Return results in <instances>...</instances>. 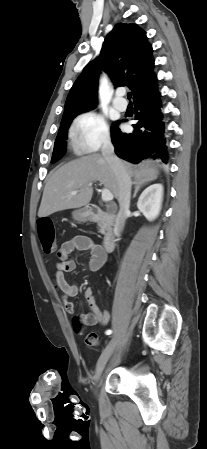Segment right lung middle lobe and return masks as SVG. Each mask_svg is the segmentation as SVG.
Segmentation results:
<instances>
[{"label":"right lung middle lobe","mask_w":207,"mask_h":449,"mask_svg":"<svg viewBox=\"0 0 207 449\" xmlns=\"http://www.w3.org/2000/svg\"><path fill=\"white\" fill-rule=\"evenodd\" d=\"M75 117H76V115L66 118L61 121V126L59 128V131H58V134H57V137L55 140V144H54V150H53V154H52L51 163H55L56 161L61 159L62 156L64 155L65 146H66L65 140H66L67 130H68L72 120Z\"/></svg>","instance_id":"right-lung-middle-lobe-1"}]
</instances>
